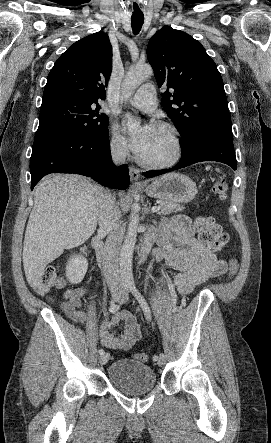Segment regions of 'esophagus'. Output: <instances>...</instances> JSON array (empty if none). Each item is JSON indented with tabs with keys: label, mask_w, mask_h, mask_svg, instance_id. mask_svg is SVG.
<instances>
[{
	"label": "esophagus",
	"mask_w": 271,
	"mask_h": 443,
	"mask_svg": "<svg viewBox=\"0 0 271 443\" xmlns=\"http://www.w3.org/2000/svg\"><path fill=\"white\" fill-rule=\"evenodd\" d=\"M130 171V178L132 182H135L136 185L142 186L143 182H139V178H140V171L137 168L134 167H130L129 169Z\"/></svg>",
	"instance_id": "34e87169"
}]
</instances>
